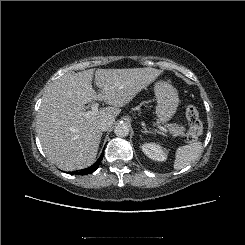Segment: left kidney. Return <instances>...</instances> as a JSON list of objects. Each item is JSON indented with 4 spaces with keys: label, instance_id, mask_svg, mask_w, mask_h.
<instances>
[{
    "label": "left kidney",
    "instance_id": "1",
    "mask_svg": "<svg viewBox=\"0 0 245 245\" xmlns=\"http://www.w3.org/2000/svg\"><path fill=\"white\" fill-rule=\"evenodd\" d=\"M143 153L150 159L155 161H165L167 154L165 150L156 143H144L142 146Z\"/></svg>",
    "mask_w": 245,
    "mask_h": 245
}]
</instances>
